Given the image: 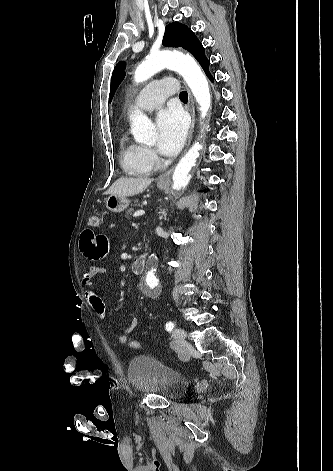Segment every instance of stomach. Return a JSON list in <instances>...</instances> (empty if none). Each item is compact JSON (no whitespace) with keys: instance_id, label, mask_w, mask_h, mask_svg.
<instances>
[{"instance_id":"stomach-1","label":"stomach","mask_w":333,"mask_h":471,"mask_svg":"<svg viewBox=\"0 0 333 471\" xmlns=\"http://www.w3.org/2000/svg\"><path fill=\"white\" fill-rule=\"evenodd\" d=\"M168 184L158 183L157 187L161 190L165 189ZM130 200L126 196L109 195L106 200V208L113 213H120L129 206Z\"/></svg>"}]
</instances>
